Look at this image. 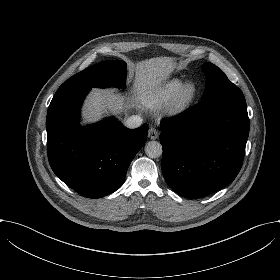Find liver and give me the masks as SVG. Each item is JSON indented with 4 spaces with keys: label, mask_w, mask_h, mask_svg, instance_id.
I'll return each instance as SVG.
<instances>
[{
    "label": "liver",
    "mask_w": 280,
    "mask_h": 280,
    "mask_svg": "<svg viewBox=\"0 0 280 280\" xmlns=\"http://www.w3.org/2000/svg\"><path fill=\"white\" fill-rule=\"evenodd\" d=\"M174 67L168 56H157L127 64L126 84L131 82L126 93L117 88L92 87L85 96L78 114V126L84 130L107 117L122 118L142 104L143 98L160 90L171 76Z\"/></svg>",
    "instance_id": "liver-1"
}]
</instances>
